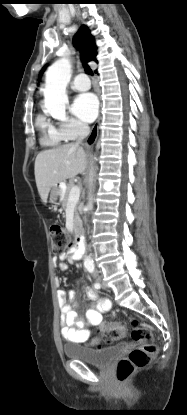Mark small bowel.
Wrapping results in <instances>:
<instances>
[{"mask_svg":"<svg viewBox=\"0 0 187 415\" xmlns=\"http://www.w3.org/2000/svg\"><path fill=\"white\" fill-rule=\"evenodd\" d=\"M71 254H61L55 258L57 266L61 270H67L66 259ZM86 295L91 302V307L86 311V322L79 320L74 311L76 293L73 290L67 293L59 290L57 293L58 304L61 311V334L65 342L71 344H95L97 338L91 337V327L99 326L102 323L103 314L110 309L111 302L107 298H99L92 288L86 289Z\"/></svg>","mask_w":187,"mask_h":415,"instance_id":"1","label":"small bowel"}]
</instances>
